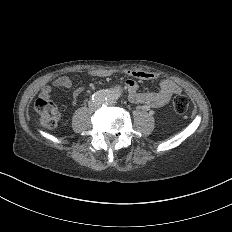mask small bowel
Segmentation results:
<instances>
[{
	"instance_id": "small-bowel-1",
	"label": "small bowel",
	"mask_w": 232,
	"mask_h": 232,
	"mask_svg": "<svg viewBox=\"0 0 232 232\" xmlns=\"http://www.w3.org/2000/svg\"><path fill=\"white\" fill-rule=\"evenodd\" d=\"M114 73L110 69H96L92 71L88 80L91 86L100 85L103 80ZM119 74L126 77L125 87L128 89V99L132 103L144 102L152 107H161L167 104L173 95L179 94L182 90L180 85L173 79H163L160 82V91L141 92L138 89L137 80H152L156 77V72L151 69H123ZM73 85L72 80L68 78H57L52 85L43 88V93L53 95L56 89H70ZM82 89L76 88L72 93V104L78 103L81 97Z\"/></svg>"
}]
</instances>
